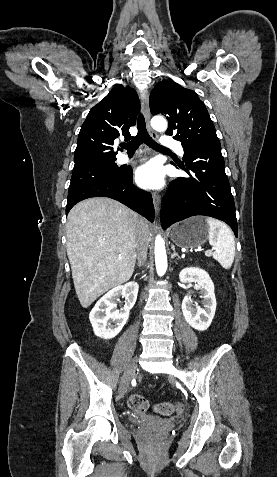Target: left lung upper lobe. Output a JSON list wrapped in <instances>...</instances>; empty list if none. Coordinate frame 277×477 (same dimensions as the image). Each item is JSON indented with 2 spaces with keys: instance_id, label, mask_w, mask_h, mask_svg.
<instances>
[{
  "instance_id": "left-lung-upper-lobe-1",
  "label": "left lung upper lobe",
  "mask_w": 277,
  "mask_h": 477,
  "mask_svg": "<svg viewBox=\"0 0 277 477\" xmlns=\"http://www.w3.org/2000/svg\"><path fill=\"white\" fill-rule=\"evenodd\" d=\"M150 110L167 117V135L174 134L183 148L220 146L208 111L194 91L164 80L150 94Z\"/></svg>"
}]
</instances>
